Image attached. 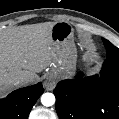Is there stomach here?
Instances as JSON below:
<instances>
[{"label": "stomach", "mask_w": 119, "mask_h": 119, "mask_svg": "<svg viewBox=\"0 0 119 119\" xmlns=\"http://www.w3.org/2000/svg\"><path fill=\"white\" fill-rule=\"evenodd\" d=\"M74 30L68 22H56L50 37L55 49L52 62L54 71L63 75H73L76 70L77 51L74 44Z\"/></svg>", "instance_id": "obj_1"}]
</instances>
